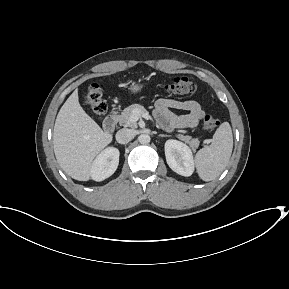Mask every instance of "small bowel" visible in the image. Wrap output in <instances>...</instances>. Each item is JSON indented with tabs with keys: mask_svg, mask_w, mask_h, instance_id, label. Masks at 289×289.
Returning <instances> with one entry per match:
<instances>
[{
	"mask_svg": "<svg viewBox=\"0 0 289 289\" xmlns=\"http://www.w3.org/2000/svg\"><path fill=\"white\" fill-rule=\"evenodd\" d=\"M172 109L186 111L177 115ZM154 115L167 130L196 127L204 116L200 104L194 100L159 99L155 104Z\"/></svg>",
	"mask_w": 289,
	"mask_h": 289,
	"instance_id": "c3829d8e",
	"label": "small bowel"
}]
</instances>
